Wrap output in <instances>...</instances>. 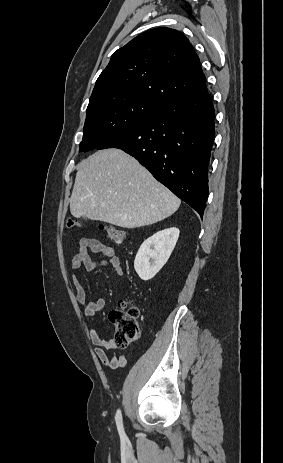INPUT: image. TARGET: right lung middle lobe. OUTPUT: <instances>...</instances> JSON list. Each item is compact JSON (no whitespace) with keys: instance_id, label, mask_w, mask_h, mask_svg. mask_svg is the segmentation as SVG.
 <instances>
[{"instance_id":"dd1d6c3e","label":"right lung middle lobe","mask_w":283,"mask_h":463,"mask_svg":"<svg viewBox=\"0 0 283 463\" xmlns=\"http://www.w3.org/2000/svg\"><path fill=\"white\" fill-rule=\"evenodd\" d=\"M159 108L146 98L124 91L109 92L91 99L86 110L80 151L98 148Z\"/></svg>"}]
</instances>
